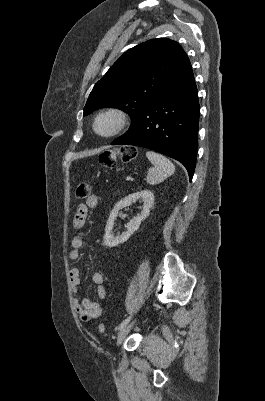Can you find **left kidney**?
Returning a JSON list of instances; mask_svg holds the SVG:
<instances>
[{
	"instance_id": "5707ae66",
	"label": "left kidney",
	"mask_w": 265,
	"mask_h": 401,
	"mask_svg": "<svg viewBox=\"0 0 265 401\" xmlns=\"http://www.w3.org/2000/svg\"><path fill=\"white\" fill-rule=\"evenodd\" d=\"M137 198H141V201H143V207L140 215H137V217H134V219L128 223L126 227V233H122V235H119V237H114V235H112L113 225L120 209L128 207V205H131V203L137 201ZM153 203L154 194L152 190H149V188H146V190H140V192H132V194H128V196L122 198V201H119V203L115 205L113 211H111L109 215V219L105 227V235L103 237L105 247H117V245H120V243H125V241H128L129 237H131V235H133V233L139 229L141 221L147 219L150 209L153 207Z\"/></svg>"
}]
</instances>
